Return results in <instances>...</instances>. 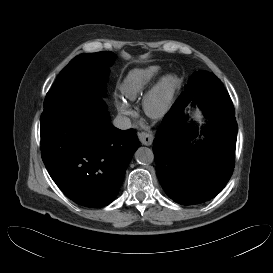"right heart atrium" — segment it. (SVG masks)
<instances>
[{
	"label": "right heart atrium",
	"instance_id": "obj_1",
	"mask_svg": "<svg viewBox=\"0 0 273 273\" xmlns=\"http://www.w3.org/2000/svg\"><path fill=\"white\" fill-rule=\"evenodd\" d=\"M116 107H117L118 113L123 117H134V116H136L135 110L125 100L117 101L116 102Z\"/></svg>",
	"mask_w": 273,
	"mask_h": 273
}]
</instances>
